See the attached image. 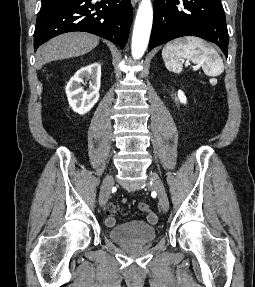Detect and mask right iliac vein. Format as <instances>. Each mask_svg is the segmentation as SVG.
Segmentation results:
<instances>
[{
  "label": "right iliac vein",
  "mask_w": 255,
  "mask_h": 287,
  "mask_svg": "<svg viewBox=\"0 0 255 287\" xmlns=\"http://www.w3.org/2000/svg\"><path fill=\"white\" fill-rule=\"evenodd\" d=\"M113 184H114L113 176L112 175H108L104 179V181H103V183L101 185V189H100L99 204H100L101 207H104L105 204L107 203Z\"/></svg>",
  "instance_id": "right-iliac-vein-1"
}]
</instances>
